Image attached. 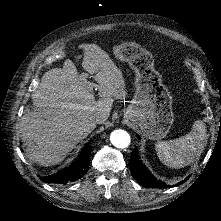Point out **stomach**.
Returning <instances> with one entry per match:
<instances>
[{
	"label": "stomach",
	"mask_w": 221,
	"mask_h": 221,
	"mask_svg": "<svg viewBox=\"0 0 221 221\" xmlns=\"http://www.w3.org/2000/svg\"><path fill=\"white\" fill-rule=\"evenodd\" d=\"M115 52L135 71L136 90L126 110V119L139 126L147 138L163 139L174 122L172 96L154 71V58L143 48L132 44L116 47Z\"/></svg>",
	"instance_id": "0dacf381"
}]
</instances>
